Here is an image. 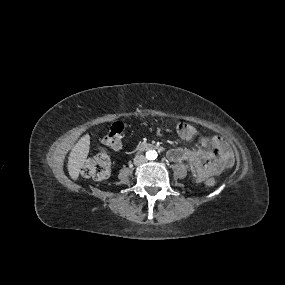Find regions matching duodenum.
Wrapping results in <instances>:
<instances>
[{"mask_svg": "<svg viewBox=\"0 0 285 285\" xmlns=\"http://www.w3.org/2000/svg\"><path fill=\"white\" fill-rule=\"evenodd\" d=\"M151 148L162 149V147H160L158 145L149 144V143H144V144H141L140 146L137 147V149H139V150H147V149H151Z\"/></svg>", "mask_w": 285, "mask_h": 285, "instance_id": "obj_1", "label": "duodenum"}]
</instances>
